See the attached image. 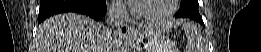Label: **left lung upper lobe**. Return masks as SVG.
I'll return each instance as SVG.
<instances>
[{
	"mask_svg": "<svg viewBox=\"0 0 261 52\" xmlns=\"http://www.w3.org/2000/svg\"><path fill=\"white\" fill-rule=\"evenodd\" d=\"M198 1L197 0H182L180 5V10L176 13V17H186L196 20L199 23H203L202 17L198 11Z\"/></svg>",
	"mask_w": 261,
	"mask_h": 52,
	"instance_id": "obj_1",
	"label": "left lung upper lobe"
}]
</instances>
